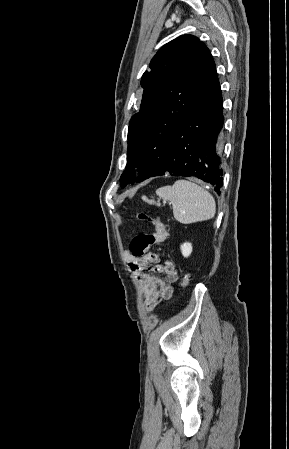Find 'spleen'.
<instances>
[{
	"instance_id": "3e777b00",
	"label": "spleen",
	"mask_w": 289,
	"mask_h": 449,
	"mask_svg": "<svg viewBox=\"0 0 289 449\" xmlns=\"http://www.w3.org/2000/svg\"><path fill=\"white\" fill-rule=\"evenodd\" d=\"M156 194L172 204L174 218L182 224L207 221L214 217L216 204L213 196L199 185L177 180L172 186L156 190ZM149 204H160L153 199H144Z\"/></svg>"
}]
</instances>
